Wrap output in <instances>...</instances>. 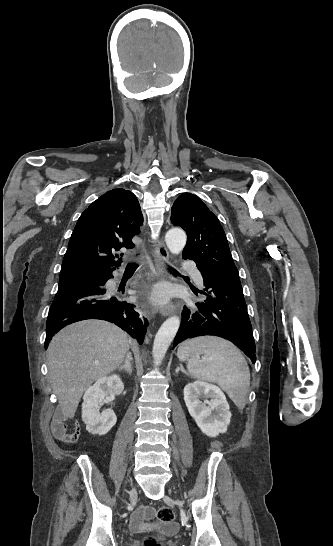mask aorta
<instances>
[{
	"mask_svg": "<svg viewBox=\"0 0 333 546\" xmlns=\"http://www.w3.org/2000/svg\"><path fill=\"white\" fill-rule=\"evenodd\" d=\"M186 240V234L180 228H172L165 235L166 245L170 252L175 255L179 254L183 250ZM179 326V317L172 316L168 318L158 330L152 349L153 358L156 362H160L164 358L179 329Z\"/></svg>",
	"mask_w": 333,
	"mask_h": 546,
	"instance_id": "aorta-1",
	"label": "aorta"
}]
</instances>
